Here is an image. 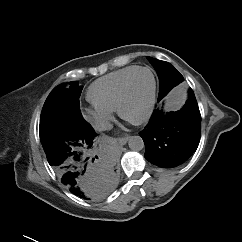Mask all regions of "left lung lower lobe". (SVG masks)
Listing matches in <instances>:
<instances>
[{
	"label": "left lung lower lobe",
	"mask_w": 242,
	"mask_h": 242,
	"mask_svg": "<svg viewBox=\"0 0 242 242\" xmlns=\"http://www.w3.org/2000/svg\"><path fill=\"white\" fill-rule=\"evenodd\" d=\"M145 158L162 168L183 164L196 151L201 134V115L192 90L179 111L154 110L140 133Z\"/></svg>",
	"instance_id": "1"
}]
</instances>
